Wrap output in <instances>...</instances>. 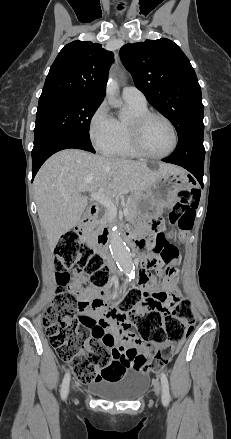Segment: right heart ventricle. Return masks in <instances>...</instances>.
Returning <instances> with one entry per match:
<instances>
[{
    "label": "right heart ventricle",
    "mask_w": 231,
    "mask_h": 439,
    "mask_svg": "<svg viewBox=\"0 0 231 439\" xmlns=\"http://www.w3.org/2000/svg\"><path fill=\"white\" fill-rule=\"evenodd\" d=\"M131 116L127 119H114V139L112 143L103 149V153L111 156L124 158H138L140 155L133 149L130 142V121L139 114L148 111L147 104L128 102Z\"/></svg>",
    "instance_id": "1"
}]
</instances>
